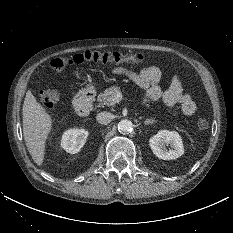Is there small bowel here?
Instances as JSON below:
<instances>
[{
    "instance_id": "1",
    "label": "small bowel",
    "mask_w": 233,
    "mask_h": 233,
    "mask_svg": "<svg viewBox=\"0 0 233 233\" xmlns=\"http://www.w3.org/2000/svg\"><path fill=\"white\" fill-rule=\"evenodd\" d=\"M113 74L124 75L132 80L139 87L146 90L145 103L157 101L161 97L169 108L179 105L181 112L186 116H191L196 111V103L192 97L185 93L181 82L177 77L171 80L169 87L163 91L161 87L162 72L156 66H147L139 72H134L124 67H115Z\"/></svg>"
}]
</instances>
